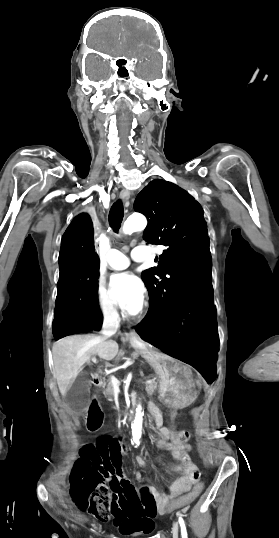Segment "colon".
I'll list each match as a JSON object with an SVG mask.
<instances>
[{
  "label": "colon",
  "mask_w": 279,
  "mask_h": 538,
  "mask_svg": "<svg viewBox=\"0 0 279 538\" xmlns=\"http://www.w3.org/2000/svg\"><path fill=\"white\" fill-rule=\"evenodd\" d=\"M189 437V432L183 430L177 434L176 440L184 446L181 455L184 474L195 485L162 509L157 506L153 488H136L125 478L122 470V458L126 451L124 440L112 434H105L95 443L81 448L80 458L70 477V494L74 503L102 521L115 516L154 517L158 511L166 513L189 505L203 489V484L198 482L200 472L197 458L190 448L185 447Z\"/></svg>",
  "instance_id": "1"
}]
</instances>
